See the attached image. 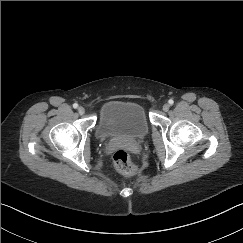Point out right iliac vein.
I'll return each mask as SVG.
<instances>
[{"label":"right iliac vein","instance_id":"right-iliac-vein-1","mask_svg":"<svg viewBox=\"0 0 243 243\" xmlns=\"http://www.w3.org/2000/svg\"><path fill=\"white\" fill-rule=\"evenodd\" d=\"M78 112H79V114L82 115L85 113V109L82 106H80V107H78Z\"/></svg>","mask_w":243,"mask_h":243}]
</instances>
